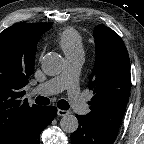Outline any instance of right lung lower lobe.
Wrapping results in <instances>:
<instances>
[{
  "label": "right lung lower lobe",
  "mask_w": 144,
  "mask_h": 144,
  "mask_svg": "<svg viewBox=\"0 0 144 144\" xmlns=\"http://www.w3.org/2000/svg\"><path fill=\"white\" fill-rule=\"evenodd\" d=\"M57 114V108L40 106L27 120L19 135L9 144H39L41 131Z\"/></svg>",
  "instance_id": "obj_1"
}]
</instances>
